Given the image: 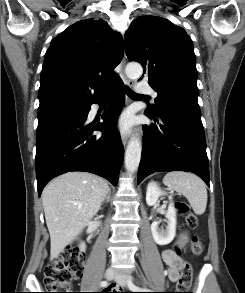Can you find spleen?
<instances>
[{
  "label": "spleen",
  "mask_w": 245,
  "mask_h": 293,
  "mask_svg": "<svg viewBox=\"0 0 245 293\" xmlns=\"http://www.w3.org/2000/svg\"><path fill=\"white\" fill-rule=\"evenodd\" d=\"M163 183L186 197L195 214L201 215L205 212L207 190L198 176L188 172H169L165 175Z\"/></svg>",
  "instance_id": "3e777b00"
}]
</instances>
